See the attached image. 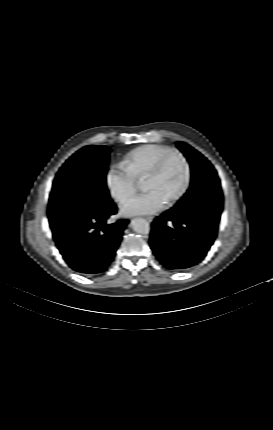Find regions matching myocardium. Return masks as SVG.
<instances>
[{
    "label": "myocardium",
    "mask_w": 273,
    "mask_h": 430,
    "mask_svg": "<svg viewBox=\"0 0 273 430\" xmlns=\"http://www.w3.org/2000/svg\"><path fill=\"white\" fill-rule=\"evenodd\" d=\"M172 156H177L182 161L185 168V179L179 191L166 203L168 207L173 206L175 203H177L185 195V193L187 192L190 186L191 167L186 156L177 149H170L157 161L153 169L148 173V175L145 178V180H147V179H153L160 176L165 168L167 161Z\"/></svg>",
    "instance_id": "obj_1"
}]
</instances>
